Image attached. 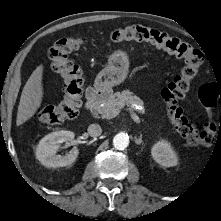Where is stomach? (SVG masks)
<instances>
[{
	"mask_svg": "<svg viewBox=\"0 0 221 221\" xmlns=\"http://www.w3.org/2000/svg\"><path fill=\"white\" fill-rule=\"evenodd\" d=\"M129 60L124 51L113 52L108 59V65L102 69L96 79L95 88L102 92H110L113 86L122 83L128 73Z\"/></svg>",
	"mask_w": 221,
	"mask_h": 221,
	"instance_id": "stomach-1",
	"label": "stomach"
}]
</instances>
